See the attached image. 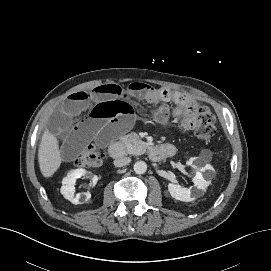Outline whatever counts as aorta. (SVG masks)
I'll return each instance as SVG.
<instances>
[{"instance_id":"1","label":"aorta","mask_w":271,"mask_h":271,"mask_svg":"<svg viewBox=\"0 0 271 271\" xmlns=\"http://www.w3.org/2000/svg\"><path fill=\"white\" fill-rule=\"evenodd\" d=\"M133 169L136 174H144L147 170V164L144 161H137Z\"/></svg>"}]
</instances>
